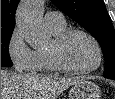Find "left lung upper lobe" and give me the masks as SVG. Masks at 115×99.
<instances>
[{
    "label": "left lung upper lobe",
    "mask_w": 115,
    "mask_h": 99,
    "mask_svg": "<svg viewBox=\"0 0 115 99\" xmlns=\"http://www.w3.org/2000/svg\"><path fill=\"white\" fill-rule=\"evenodd\" d=\"M56 7L90 32L100 44L104 77L115 79V31L103 0H52Z\"/></svg>",
    "instance_id": "obj_1"
}]
</instances>
